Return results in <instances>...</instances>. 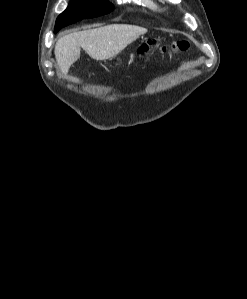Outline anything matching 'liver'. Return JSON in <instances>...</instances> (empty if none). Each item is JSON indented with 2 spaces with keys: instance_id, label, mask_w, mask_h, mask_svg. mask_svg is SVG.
I'll list each match as a JSON object with an SVG mask.
<instances>
[{
  "instance_id": "1",
  "label": "liver",
  "mask_w": 247,
  "mask_h": 299,
  "mask_svg": "<svg viewBox=\"0 0 247 299\" xmlns=\"http://www.w3.org/2000/svg\"><path fill=\"white\" fill-rule=\"evenodd\" d=\"M145 33L146 28L128 24H112L74 32L57 41L54 53L60 70L66 74L80 58L81 48L94 60H108Z\"/></svg>"
}]
</instances>
